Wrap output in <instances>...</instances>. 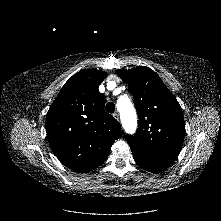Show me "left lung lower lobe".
Instances as JSON below:
<instances>
[{"instance_id":"0a47b994","label":"left lung lower lobe","mask_w":221,"mask_h":221,"mask_svg":"<svg viewBox=\"0 0 221 221\" xmlns=\"http://www.w3.org/2000/svg\"><path fill=\"white\" fill-rule=\"evenodd\" d=\"M131 151L137 164L149 172H153V173L161 172L172 164V162H167V161H162V160L151 158L141 153L140 151H137L134 149H131Z\"/></svg>"}]
</instances>
